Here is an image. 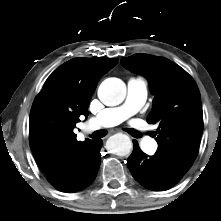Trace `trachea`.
<instances>
[{"label":"trachea","mask_w":221,"mask_h":221,"mask_svg":"<svg viewBox=\"0 0 221 221\" xmlns=\"http://www.w3.org/2000/svg\"><path fill=\"white\" fill-rule=\"evenodd\" d=\"M126 131L135 138H139L141 136L140 132H138L137 130L126 129ZM106 135H107V132L105 130H98V131H95L94 133H92V135H90V137L92 139L97 140V139L103 138Z\"/></svg>","instance_id":"trachea-1"}]
</instances>
